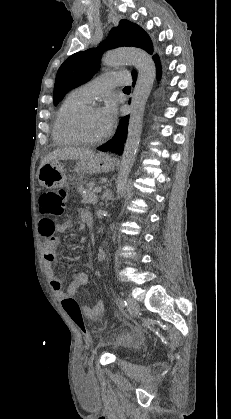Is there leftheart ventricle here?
I'll use <instances>...</instances> for the list:
<instances>
[{
  "mask_svg": "<svg viewBox=\"0 0 231 419\" xmlns=\"http://www.w3.org/2000/svg\"><path fill=\"white\" fill-rule=\"evenodd\" d=\"M81 128L84 134L91 138L99 137L106 133L99 110L95 107L84 115L81 120Z\"/></svg>",
  "mask_w": 231,
  "mask_h": 419,
  "instance_id": "left-heart-ventricle-1",
  "label": "left heart ventricle"
}]
</instances>
